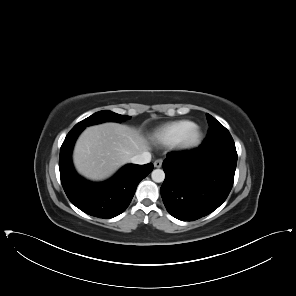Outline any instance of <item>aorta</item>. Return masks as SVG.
I'll return each instance as SVG.
<instances>
[{
    "instance_id": "obj_1",
    "label": "aorta",
    "mask_w": 296,
    "mask_h": 296,
    "mask_svg": "<svg viewBox=\"0 0 296 296\" xmlns=\"http://www.w3.org/2000/svg\"><path fill=\"white\" fill-rule=\"evenodd\" d=\"M151 177L154 182L160 183L164 181L165 173L161 169H155L152 171Z\"/></svg>"
}]
</instances>
